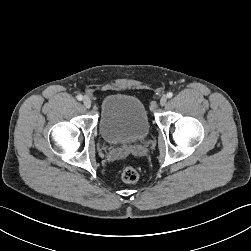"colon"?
<instances>
[{"mask_svg": "<svg viewBox=\"0 0 251 251\" xmlns=\"http://www.w3.org/2000/svg\"><path fill=\"white\" fill-rule=\"evenodd\" d=\"M121 178L126 183H134L138 180L139 173L133 166L126 165L122 169Z\"/></svg>", "mask_w": 251, "mask_h": 251, "instance_id": "5ec220e1", "label": "colon"}]
</instances>
